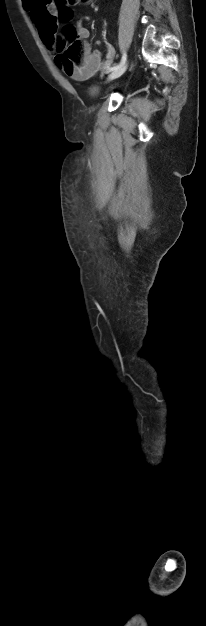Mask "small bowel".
Here are the masks:
<instances>
[{
    "instance_id": "obj_1",
    "label": "small bowel",
    "mask_w": 206,
    "mask_h": 626,
    "mask_svg": "<svg viewBox=\"0 0 206 626\" xmlns=\"http://www.w3.org/2000/svg\"><path fill=\"white\" fill-rule=\"evenodd\" d=\"M26 9L30 12L33 22L35 23L40 37L44 44L51 50L56 49V32L58 12L55 5L49 0H35L27 4ZM84 17H78V35L81 38H88L89 30L83 26ZM115 49L109 45H105V53L96 50H89L83 63L77 64L67 60L62 53L55 56V64L67 76L76 81H85L94 77L99 71L106 69L113 61Z\"/></svg>"
}]
</instances>
